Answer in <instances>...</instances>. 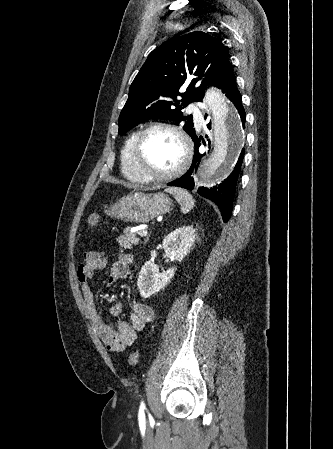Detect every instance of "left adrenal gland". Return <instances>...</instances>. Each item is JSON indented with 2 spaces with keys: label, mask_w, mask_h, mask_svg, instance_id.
Segmentation results:
<instances>
[{
  "label": "left adrenal gland",
  "mask_w": 333,
  "mask_h": 449,
  "mask_svg": "<svg viewBox=\"0 0 333 449\" xmlns=\"http://www.w3.org/2000/svg\"><path fill=\"white\" fill-rule=\"evenodd\" d=\"M149 240V236H147V238L145 239V242H147Z\"/></svg>",
  "instance_id": "obj_1"
}]
</instances>
